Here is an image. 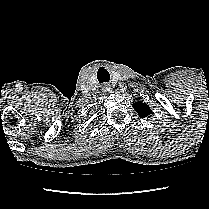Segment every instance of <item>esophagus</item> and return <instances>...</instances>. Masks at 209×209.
Instances as JSON below:
<instances>
[{"mask_svg":"<svg viewBox=\"0 0 209 209\" xmlns=\"http://www.w3.org/2000/svg\"><path fill=\"white\" fill-rule=\"evenodd\" d=\"M102 89H103V92H105V93L111 92V87L109 85H104Z\"/></svg>","mask_w":209,"mask_h":209,"instance_id":"1","label":"esophagus"}]
</instances>
